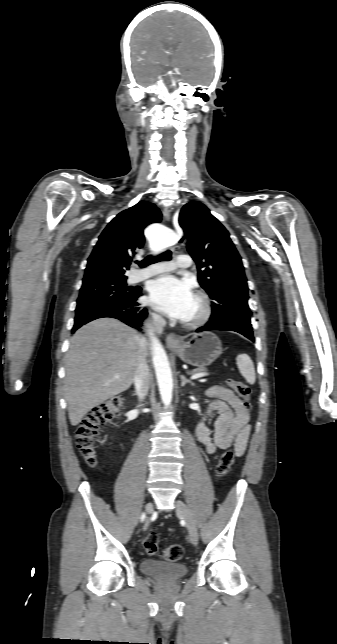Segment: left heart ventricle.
<instances>
[{
	"label": "left heart ventricle",
	"mask_w": 337,
	"mask_h": 644,
	"mask_svg": "<svg viewBox=\"0 0 337 644\" xmlns=\"http://www.w3.org/2000/svg\"><path fill=\"white\" fill-rule=\"evenodd\" d=\"M198 311H199V303L196 300V298L194 297V299L192 301V304H191V307L189 309V312H188V314H187L185 319L193 318L198 313Z\"/></svg>",
	"instance_id": "obj_1"
}]
</instances>
